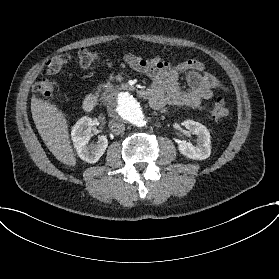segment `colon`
Listing matches in <instances>:
<instances>
[{"instance_id": "1", "label": "colon", "mask_w": 279, "mask_h": 279, "mask_svg": "<svg viewBox=\"0 0 279 279\" xmlns=\"http://www.w3.org/2000/svg\"><path fill=\"white\" fill-rule=\"evenodd\" d=\"M99 58L98 53L89 49H80L77 53V65L79 68H87L92 65ZM69 61V55L67 53H59L52 56L45 67V74L48 77L58 75L64 65ZM56 89V82L51 78L42 80L33 88L34 96L39 99L49 100L52 93ZM209 115L216 120L226 118L230 113L229 105L224 100H215L212 102L208 109Z\"/></svg>"}]
</instances>
